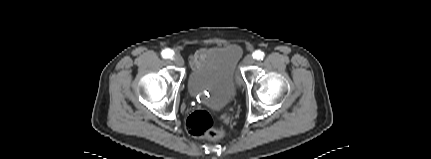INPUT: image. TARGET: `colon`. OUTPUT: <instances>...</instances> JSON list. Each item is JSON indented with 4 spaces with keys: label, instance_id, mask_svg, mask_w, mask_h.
Segmentation results:
<instances>
[{
    "label": "colon",
    "instance_id": "colon-1",
    "mask_svg": "<svg viewBox=\"0 0 431 159\" xmlns=\"http://www.w3.org/2000/svg\"><path fill=\"white\" fill-rule=\"evenodd\" d=\"M186 128L190 135L197 138H220L224 132L214 127L213 118L206 110L192 112L186 120Z\"/></svg>",
    "mask_w": 431,
    "mask_h": 159
}]
</instances>
